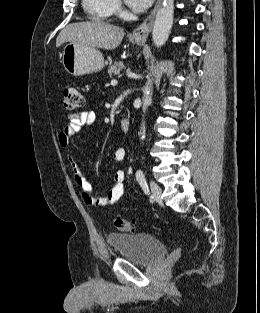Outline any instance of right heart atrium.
Listing matches in <instances>:
<instances>
[{"label":"right heart atrium","instance_id":"obj_1","mask_svg":"<svg viewBox=\"0 0 260 313\" xmlns=\"http://www.w3.org/2000/svg\"><path fill=\"white\" fill-rule=\"evenodd\" d=\"M112 4H113V10L114 12L118 13L121 10V4L119 0H112Z\"/></svg>","mask_w":260,"mask_h":313}]
</instances>
